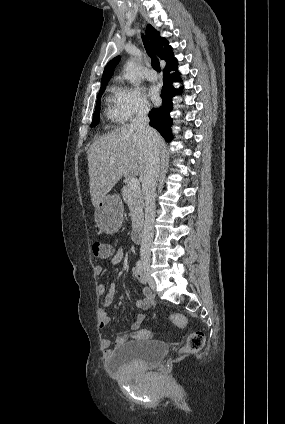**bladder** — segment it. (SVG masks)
Listing matches in <instances>:
<instances>
[{"instance_id":"31cf9c89","label":"bladder","mask_w":285,"mask_h":424,"mask_svg":"<svg viewBox=\"0 0 285 424\" xmlns=\"http://www.w3.org/2000/svg\"><path fill=\"white\" fill-rule=\"evenodd\" d=\"M167 343L137 339L117 347L109 359V367L114 372H124L134 367L152 368L158 366L167 355Z\"/></svg>"}]
</instances>
